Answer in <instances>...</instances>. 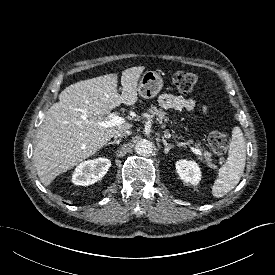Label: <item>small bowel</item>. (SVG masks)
I'll use <instances>...</instances> for the list:
<instances>
[{
	"mask_svg": "<svg viewBox=\"0 0 275 275\" xmlns=\"http://www.w3.org/2000/svg\"><path fill=\"white\" fill-rule=\"evenodd\" d=\"M160 106L165 109L174 110H186L192 112L195 110L197 104L192 98H185L183 96H177L172 94H162L158 98ZM203 114H207L208 108L206 106L202 107Z\"/></svg>",
	"mask_w": 275,
	"mask_h": 275,
	"instance_id": "small-bowel-1",
	"label": "small bowel"
}]
</instances>
